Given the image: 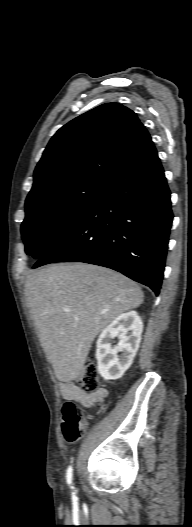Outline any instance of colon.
<instances>
[{
  "mask_svg": "<svg viewBox=\"0 0 192 527\" xmlns=\"http://www.w3.org/2000/svg\"><path fill=\"white\" fill-rule=\"evenodd\" d=\"M77 385L86 392L96 391L99 387L97 366L87 361L76 378ZM86 430V421L80 408L72 401L62 406V431L66 442L74 443Z\"/></svg>",
  "mask_w": 192,
  "mask_h": 527,
  "instance_id": "5ec220e1",
  "label": "colon"
}]
</instances>
